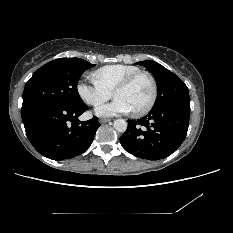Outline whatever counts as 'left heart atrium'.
Listing matches in <instances>:
<instances>
[{
	"instance_id": "left-heart-atrium-1",
	"label": "left heart atrium",
	"mask_w": 233,
	"mask_h": 233,
	"mask_svg": "<svg viewBox=\"0 0 233 233\" xmlns=\"http://www.w3.org/2000/svg\"><path fill=\"white\" fill-rule=\"evenodd\" d=\"M131 111H133L131 106L121 98H115L111 103L102 105L96 109L97 115L103 117L126 114Z\"/></svg>"
}]
</instances>
